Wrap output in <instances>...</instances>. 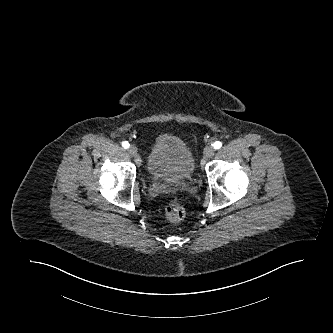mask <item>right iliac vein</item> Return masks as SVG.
I'll list each match as a JSON object with an SVG mask.
<instances>
[{"label":"right iliac vein","instance_id":"1","mask_svg":"<svg viewBox=\"0 0 333 333\" xmlns=\"http://www.w3.org/2000/svg\"><path fill=\"white\" fill-rule=\"evenodd\" d=\"M137 152H138V149L135 145H131L129 148H128V153L131 155V156H135L137 155Z\"/></svg>","mask_w":333,"mask_h":333}]
</instances>
